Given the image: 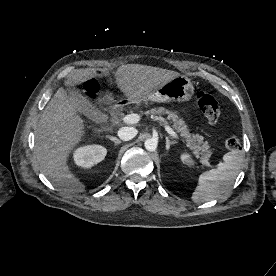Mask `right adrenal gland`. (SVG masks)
<instances>
[{
  "instance_id": "1",
  "label": "right adrenal gland",
  "mask_w": 276,
  "mask_h": 276,
  "mask_svg": "<svg viewBox=\"0 0 276 276\" xmlns=\"http://www.w3.org/2000/svg\"><path fill=\"white\" fill-rule=\"evenodd\" d=\"M107 138L110 139L111 141H113L115 143V145L121 144V140L117 139L116 137L107 136Z\"/></svg>"
}]
</instances>
